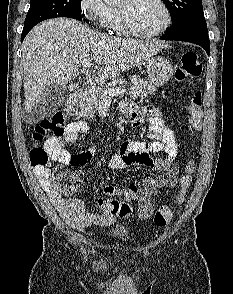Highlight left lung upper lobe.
I'll list each match as a JSON object with an SVG mask.
<instances>
[{
    "label": "left lung upper lobe",
    "mask_w": 233,
    "mask_h": 294,
    "mask_svg": "<svg viewBox=\"0 0 233 294\" xmlns=\"http://www.w3.org/2000/svg\"><path fill=\"white\" fill-rule=\"evenodd\" d=\"M168 7L172 26L167 33L189 28H207L201 0H163Z\"/></svg>",
    "instance_id": "obj_1"
}]
</instances>
